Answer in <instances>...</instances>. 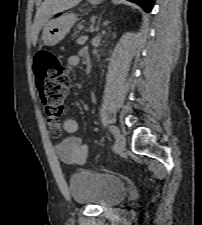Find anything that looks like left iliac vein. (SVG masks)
Wrapping results in <instances>:
<instances>
[{"label": "left iliac vein", "instance_id": "left-iliac-vein-1", "mask_svg": "<svg viewBox=\"0 0 202 225\" xmlns=\"http://www.w3.org/2000/svg\"><path fill=\"white\" fill-rule=\"evenodd\" d=\"M116 145L119 151H123L126 146V139L125 136L118 133L116 135Z\"/></svg>", "mask_w": 202, "mask_h": 225}]
</instances>
